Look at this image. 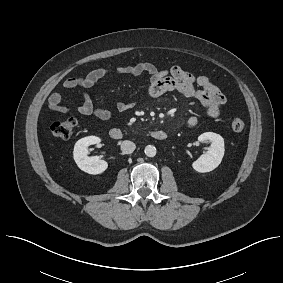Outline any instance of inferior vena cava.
Listing matches in <instances>:
<instances>
[{
  "instance_id": "1",
  "label": "inferior vena cava",
  "mask_w": 283,
  "mask_h": 283,
  "mask_svg": "<svg viewBox=\"0 0 283 283\" xmlns=\"http://www.w3.org/2000/svg\"><path fill=\"white\" fill-rule=\"evenodd\" d=\"M136 148L135 143L129 140H125L121 142V151L124 154H131Z\"/></svg>"
}]
</instances>
